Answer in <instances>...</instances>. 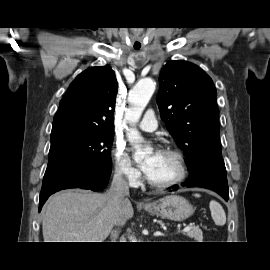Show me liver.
<instances>
[{
	"label": "liver",
	"mask_w": 270,
	"mask_h": 270,
	"mask_svg": "<svg viewBox=\"0 0 270 270\" xmlns=\"http://www.w3.org/2000/svg\"><path fill=\"white\" fill-rule=\"evenodd\" d=\"M133 215L127 198L118 204L109 193L61 191L44 207V242H104L113 227L123 226Z\"/></svg>",
	"instance_id": "liver-1"
}]
</instances>
